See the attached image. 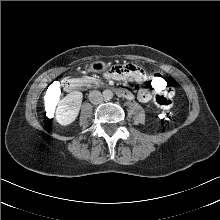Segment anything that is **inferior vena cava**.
Masks as SVG:
<instances>
[{
    "label": "inferior vena cava",
    "mask_w": 220,
    "mask_h": 220,
    "mask_svg": "<svg viewBox=\"0 0 220 220\" xmlns=\"http://www.w3.org/2000/svg\"><path fill=\"white\" fill-rule=\"evenodd\" d=\"M89 100L94 104H98L102 101V94L96 90L91 91L89 94Z\"/></svg>",
    "instance_id": "602c4592"
}]
</instances>
